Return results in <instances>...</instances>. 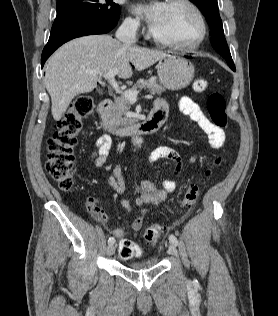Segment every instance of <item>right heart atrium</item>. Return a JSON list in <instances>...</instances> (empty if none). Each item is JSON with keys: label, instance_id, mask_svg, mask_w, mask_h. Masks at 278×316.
Returning a JSON list of instances; mask_svg holds the SVG:
<instances>
[{"label": "right heart atrium", "instance_id": "1", "mask_svg": "<svg viewBox=\"0 0 278 316\" xmlns=\"http://www.w3.org/2000/svg\"><path fill=\"white\" fill-rule=\"evenodd\" d=\"M122 28L127 34L136 36L141 32L142 25L138 18L128 16L123 20Z\"/></svg>", "mask_w": 278, "mask_h": 316}]
</instances>
